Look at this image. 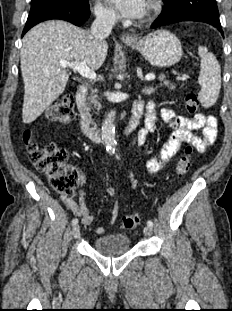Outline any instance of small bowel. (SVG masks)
<instances>
[{
    "label": "small bowel",
    "mask_w": 232,
    "mask_h": 311,
    "mask_svg": "<svg viewBox=\"0 0 232 311\" xmlns=\"http://www.w3.org/2000/svg\"><path fill=\"white\" fill-rule=\"evenodd\" d=\"M144 93L146 95H151L154 93V89H146ZM155 109V102L150 101L147 105L144 127L136 133L134 138L131 140V145H139L144 147L147 143L148 136L155 132L157 128L155 121ZM159 113L161 120L172 129V133L163 145L159 156L152 157L148 160L147 171L149 174H157L162 172L170 163L173 156L178 152L181 144L190 143L198 152L203 153L216 140L217 120L213 116L197 114L193 117H187L176 114L173 109L166 106L161 107ZM198 129L202 130V137L195 134V131ZM130 178L132 185H134L135 179L132 174H130ZM85 180L84 174L79 173L80 184H84ZM108 191L110 194L115 193L112 187H109ZM78 196V203L72 197L62 195L60 198L64 205L81 219L83 224L90 225L93 222L94 217L89 213L87 201L82 190L78 192ZM117 215L118 206L115 205L111 213V222L116 220ZM95 232L98 235H101L105 233V229L103 227H97Z\"/></svg>",
    "instance_id": "1"
}]
</instances>
